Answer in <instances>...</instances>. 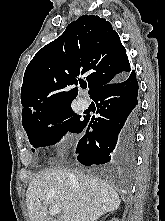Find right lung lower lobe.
Wrapping results in <instances>:
<instances>
[{
	"instance_id": "1",
	"label": "right lung lower lobe",
	"mask_w": 165,
	"mask_h": 221,
	"mask_svg": "<svg viewBox=\"0 0 165 221\" xmlns=\"http://www.w3.org/2000/svg\"><path fill=\"white\" fill-rule=\"evenodd\" d=\"M138 82L135 72L125 78L99 88L91 98L97 104L99 117L84 124L93 128L78 143V161L86 166L113 164L119 168H130L135 160V130L137 119ZM89 123V125H88Z\"/></svg>"
}]
</instances>
